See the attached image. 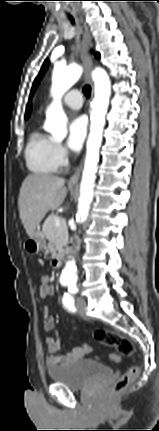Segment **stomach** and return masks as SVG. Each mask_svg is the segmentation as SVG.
Masks as SVG:
<instances>
[{
	"instance_id": "1",
	"label": "stomach",
	"mask_w": 159,
	"mask_h": 431,
	"mask_svg": "<svg viewBox=\"0 0 159 431\" xmlns=\"http://www.w3.org/2000/svg\"><path fill=\"white\" fill-rule=\"evenodd\" d=\"M45 247V237L43 233L36 230L34 235L30 237L25 243L24 248L28 253L36 254L42 251Z\"/></svg>"
}]
</instances>
